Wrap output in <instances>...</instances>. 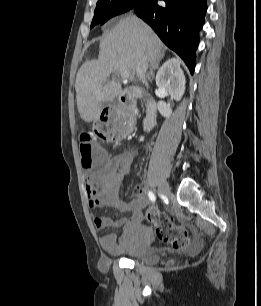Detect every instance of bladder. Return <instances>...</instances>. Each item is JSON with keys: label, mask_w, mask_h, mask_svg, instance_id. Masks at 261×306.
Masks as SVG:
<instances>
[{"label": "bladder", "mask_w": 261, "mask_h": 306, "mask_svg": "<svg viewBox=\"0 0 261 306\" xmlns=\"http://www.w3.org/2000/svg\"><path fill=\"white\" fill-rule=\"evenodd\" d=\"M127 258L133 262L152 265L158 263L160 253L148 242L143 241L128 254Z\"/></svg>", "instance_id": "31cf9c89"}]
</instances>
